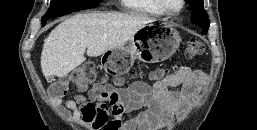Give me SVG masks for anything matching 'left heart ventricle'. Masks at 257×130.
I'll use <instances>...</instances> for the list:
<instances>
[{
	"label": "left heart ventricle",
	"instance_id": "left-heart-ventricle-1",
	"mask_svg": "<svg viewBox=\"0 0 257 130\" xmlns=\"http://www.w3.org/2000/svg\"><path fill=\"white\" fill-rule=\"evenodd\" d=\"M167 3L173 9H177L180 6V0H167Z\"/></svg>",
	"mask_w": 257,
	"mask_h": 130
}]
</instances>
